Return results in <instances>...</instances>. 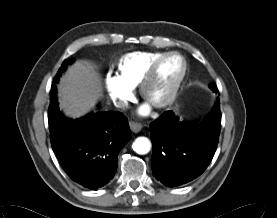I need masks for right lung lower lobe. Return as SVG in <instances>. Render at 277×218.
Here are the masks:
<instances>
[{
    "instance_id": "1",
    "label": "right lung lower lobe",
    "mask_w": 277,
    "mask_h": 218,
    "mask_svg": "<svg viewBox=\"0 0 277 218\" xmlns=\"http://www.w3.org/2000/svg\"><path fill=\"white\" fill-rule=\"evenodd\" d=\"M54 78L50 101L57 102ZM53 151L68 176L91 190L108 184L117 171V156L130 140L127 118L120 112H96L72 120L62 114L50 124Z\"/></svg>"
}]
</instances>
